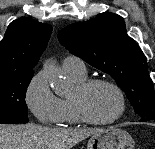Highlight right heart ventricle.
<instances>
[{
    "instance_id": "1",
    "label": "right heart ventricle",
    "mask_w": 155,
    "mask_h": 149,
    "mask_svg": "<svg viewBox=\"0 0 155 149\" xmlns=\"http://www.w3.org/2000/svg\"><path fill=\"white\" fill-rule=\"evenodd\" d=\"M77 84L85 81L87 79L86 74L77 75L72 73H67ZM62 106V119L61 123L67 125H73L79 123V118L76 114V111L72 105L70 98L61 99Z\"/></svg>"
}]
</instances>
